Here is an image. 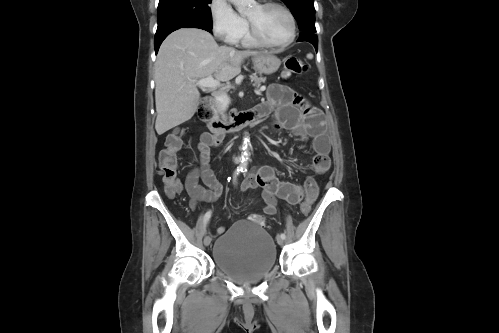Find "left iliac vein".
<instances>
[{"label":"left iliac vein","instance_id":"4c4485c4","mask_svg":"<svg viewBox=\"0 0 499 333\" xmlns=\"http://www.w3.org/2000/svg\"><path fill=\"white\" fill-rule=\"evenodd\" d=\"M276 240H277V243H278L279 245H283V244H284V239H283V238H281V236H277Z\"/></svg>","mask_w":499,"mask_h":333}]
</instances>
